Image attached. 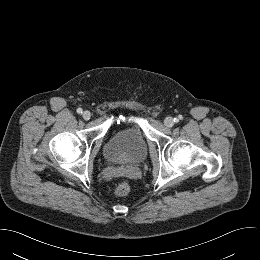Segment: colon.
<instances>
[{
    "mask_svg": "<svg viewBox=\"0 0 260 260\" xmlns=\"http://www.w3.org/2000/svg\"><path fill=\"white\" fill-rule=\"evenodd\" d=\"M130 189V184L126 181H122L116 186L114 193L117 197H124L129 194Z\"/></svg>",
    "mask_w": 260,
    "mask_h": 260,
    "instance_id": "1",
    "label": "colon"
}]
</instances>
